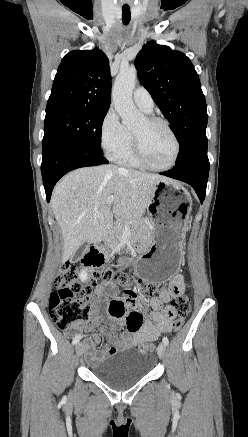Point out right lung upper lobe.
<instances>
[{
  "label": "right lung upper lobe",
  "mask_w": 248,
  "mask_h": 437,
  "mask_svg": "<svg viewBox=\"0 0 248 437\" xmlns=\"http://www.w3.org/2000/svg\"><path fill=\"white\" fill-rule=\"evenodd\" d=\"M111 76L107 56L98 48L64 56L48 102L65 101L98 110L110 106Z\"/></svg>",
  "instance_id": "obj_1"
}]
</instances>
